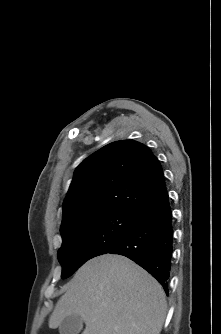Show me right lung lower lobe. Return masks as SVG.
I'll return each mask as SVG.
<instances>
[{"instance_id":"obj_1","label":"right lung lower lobe","mask_w":221,"mask_h":334,"mask_svg":"<svg viewBox=\"0 0 221 334\" xmlns=\"http://www.w3.org/2000/svg\"><path fill=\"white\" fill-rule=\"evenodd\" d=\"M172 211L166 189L137 214L117 245L106 253L124 255L147 270L168 295L173 253Z\"/></svg>"}]
</instances>
